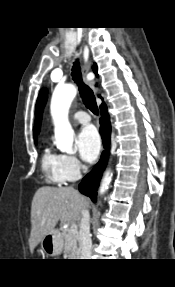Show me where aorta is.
Instances as JSON below:
<instances>
[{
	"instance_id": "762f6f07",
	"label": "aorta",
	"mask_w": 175,
	"mask_h": 287,
	"mask_svg": "<svg viewBox=\"0 0 175 287\" xmlns=\"http://www.w3.org/2000/svg\"><path fill=\"white\" fill-rule=\"evenodd\" d=\"M77 93L72 84L58 86L55 88L51 99V115L54 123L55 145L62 151L73 153L74 131L68 120L69 108ZM112 180V173L107 171L100 186V193L103 194L109 188Z\"/></svg>"
}]
</instances>
